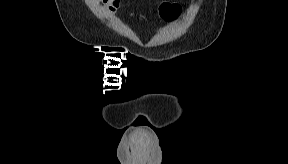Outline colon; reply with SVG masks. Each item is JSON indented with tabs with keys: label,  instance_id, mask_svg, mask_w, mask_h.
Wrapping results in <instances>:
<instances>
[{
	"label": "colon",
	"instance_id": "obj_1",
	"mask_svg": "<svg viewBox=\"0 0 288 164\" xmlns=\"http://www.w3.org/2000/svg\"><path fill=\"white\" fill-rule=\"evenodd\" d=\"M180 16V8L173 5H165L164 6V17L166 20H175Z\"/></svg>",
	"mask_w": 288,
	"mask_h": 164
}]
</instances>
